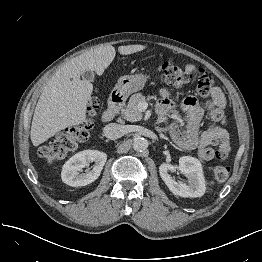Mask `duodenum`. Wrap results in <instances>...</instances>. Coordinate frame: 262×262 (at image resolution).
<instances>
[{"label": "duodenum", "mask_w": 262, "mask_h": 262, "mask_svg": "<svg viewBox=\"0 0 262 262\" xmlns=\"http://www.w3.org/2000/svg\"><path fill=\"white\" fill-rule=\"evenodd\" d=\"M124 100V95L121 92H114L109 98L107 109L103 112L101 121L109 123L122 108Z\"/></svg>", "instance_id": "410a0bca"}]
</instances>
